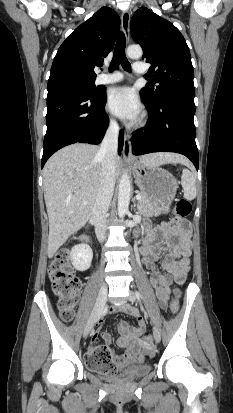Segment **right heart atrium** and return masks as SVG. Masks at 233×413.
<instances>
[{"instance_id":"obj_1","label":"right heart atrium","mask_w":233,"mask_h":413,"mask_svg":"<svg viewBox=\"0 0 233 413\" xmlns=\"http://www.w3.org/2000/svg\"><path fill=\"white\" fill-rule=\"evenodd\" d=\"M109 123H110V125H112V126H115V125H116V121H115V119H114L112 116L109 117Z\"/></svg>"}]
</instances>
